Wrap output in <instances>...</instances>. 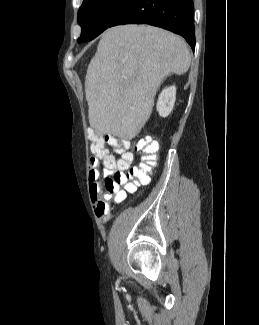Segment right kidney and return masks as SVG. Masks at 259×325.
<instances>
[{"mask_svg":"<svg viewBox=\"0 0 259 325\" xmlns=\"http://www.w3.org/2000/svg\"><path fill=\"white\" fill-rule=\"evenodd\" d=\"M176 100V87L170 86L165 88L159 95L157 101V111L161 117H167L173 110Z\"/></svg>","mask_w":259,"mask_h":325,"instance_id":"1","label":"right kidney"}]
</instances>
